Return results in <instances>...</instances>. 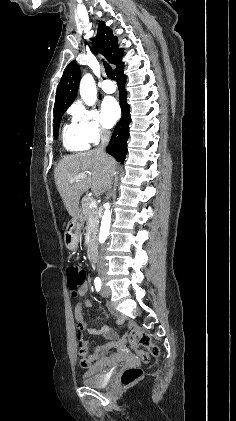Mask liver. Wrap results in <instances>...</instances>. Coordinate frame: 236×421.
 Masks as SVG:
<instances>
[{"label":"liver","mask_w":236,"mask_h":421,"mask_svg":"<svg viewBox=\"0 0 236 421\" xmlns=\"http://www.w3.org/2000/svg\"><path fill=\"white\" fill-rule=\"evenodd\" d=\"M116 168L113 156L96 152L95 148L79 154H67L59 160L54 170L55 184L70 217H77L80 196L88 188L93 192H105L111 186ZM77 174H87V178L69 182V178Z\"/></svg>","instance_id":"liver-1"}]
</instances>
